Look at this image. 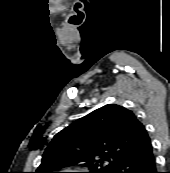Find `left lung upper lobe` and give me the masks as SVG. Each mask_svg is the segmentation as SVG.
<instances>
[{
    "instance_id": "obj_1",
    "label": "left lung upper lobe",
    "mask_w": 170,
    "mask_h": 173,
    "mask_svg": "<svg viewBox=\"0 0 170 173\" xmlns=\"http://www.w3.org/2000/svg\"><path fill=\"white\" fill-rule=\"evenodd\" d=\"M150 143L132 111L108 104L57 133L35 173H58L62 167L77 164L88 167L89 173H113L126 156Z\"/></svg>"
}]
</instances>
